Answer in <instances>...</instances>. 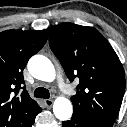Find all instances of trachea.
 I'll use <instances>...</instances> for the list:
<instances>
[{"instance_id":"obj_1","label":"trachea","mask_w":127,"mask_h":127,"mask_svg":"<svg viewBox=\"0 0 127 127\" xmlns=\"http://www.w3.org/2000/svg\"><path fill=\"white\" fill-rule=\"evenodd\" d=\"M34 96L38 98H49L50 93L47 89L41 87V88H37L34 91Z\"/></svg>"}]
</instances>
